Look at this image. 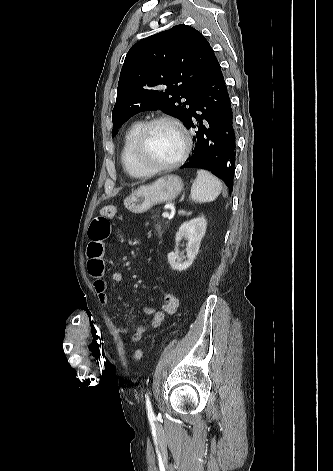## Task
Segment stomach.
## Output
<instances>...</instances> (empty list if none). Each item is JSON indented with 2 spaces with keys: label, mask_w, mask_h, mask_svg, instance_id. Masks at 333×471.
<instances>
[{
  "label": "stomach",
  "mask_w": 333,
  "mask_h": 471,
  "mask_svg": "<svg viewBox=\"0 0 333 471\" xmlns=\"http://www.w3.org/2000/svg\"><path fill=\"white\" fill-rule=\"evenodd\" d=\"M183 182L177 175H166L150 185H144L133 191L124 200V206L130 212L141 214L156 204L174 200L181 192Z\"/></svg>",
  "instance_id": "1"
}]
</instances>
